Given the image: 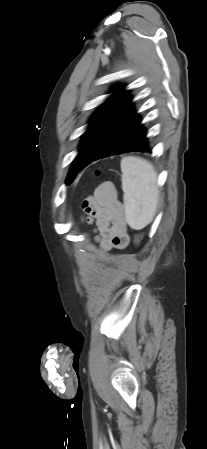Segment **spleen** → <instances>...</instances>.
I'll return each instance as SVG.
<instances>
[{"instance_id": "3e777b00", "label": "spleen", "mask_w": 207, "mask_h": 449, "mask_svg": "<svg viewBox=\"0 0 207 449\" xmlns=\"http://www.w3.org/2000/svg\"><path fill=\"white\" fill-rule=\"evenodd\" d=\"M125 219L135 230L146 227L154 219L159 192L157 174L151 163L138 157L121 160Z\"/></svg>"}]
</instances>
